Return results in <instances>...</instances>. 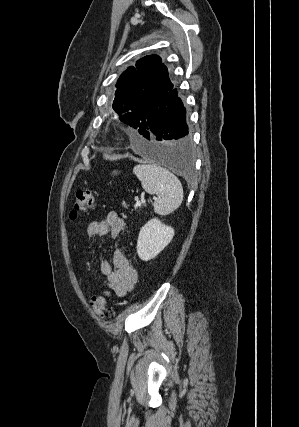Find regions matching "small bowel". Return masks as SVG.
<instances>
[{
	"instance_id": "obj_1",
	"label": "small bowel",
	"mask_w": 299,
	"mask_h": 427,
	"mask_svg": "<svg viewBox=\"0 0 299 427\" xmlns=\"http://www.w3.org/2000/svg\"><path fill=\"white\" fill-rule=\"evenodd\" d=\"M125 229L126 223L124 219L118 216L117 213L110 212L105 216L94 219L89 224L87 232L92 238L108 234L116 238L123 233ZM84 267L87 279H91L95 271L94 262L92 260H87ZM100 272L106 287V289L101 290L100 293L107 298H110L113 294L117 297L126 296L138 280V274L134 265L120 250H116L113 253L111 263L103 261L100 264Z\"/></svg>"
}]
</instances>
